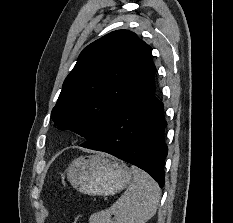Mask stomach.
Here are the masks:
<instances>
[{"label":"stomach","mask_w":233,"mask_h":223,"mask_svg":"<svg viewBox=\"0 0 233 223\" xmlns=\"http://www.w3.org/2000/svg\"><path fill=\"white\" fill-rule=\"evenodd\" d=\"M65 173L78 191L88 195H114L127 187L132 179L126 163L105 153L77 157Z\"/></svg>","instance_id":"0dacf381"}]
</instances>
